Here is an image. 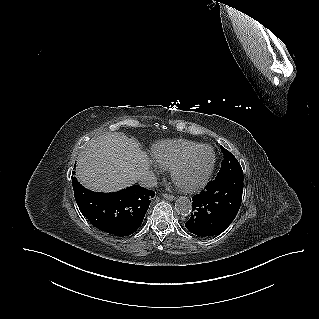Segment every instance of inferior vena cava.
<instances>
[{
  "label": "inferior vena cava",
  "instance_id": "602c4592",
  "mask_svg": "<svg viewBox=\"0 0 319 319\" xmlns=\"http://www.w3.org/2000/svg\"><path fill=\"white\" fill-rule=\"evenodd\" d=\"M139 184L145 188L155 187L157 185V177L153 171H147L140 177Z\"/></svg>",
  "mask_w": 319,
  "mask_h": 319
}]
</instances>
